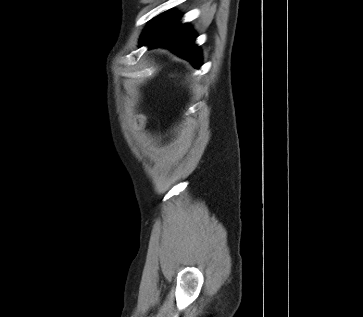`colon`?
<instances>
[{
    "instance_id": "5ec220e1",
    "label": "colon",
    "mask_w": 363,
    "mask_h": 317,
    "mask_svg": "<svg viewBox=\"0 0 363 317\" xmlns=\"http://www.w3.org/2000/svg\"><path fill=\"white\" fill-rule=\"evenodd\" d=\"M136 122L138 126H142L144 123V118L142 116H138Z\"/></svg>"
}]
</instances>
